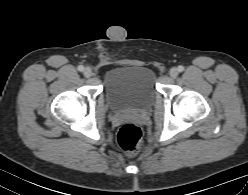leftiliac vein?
I'll use <instances>...</instances> for the list:
<instances>
[{
	"instance_id": "4c4485c4",
	"label": "left iliac vein",
	"mask_w": 248,
	"mask_h": 195,
	"mask_svg": "<svg viewBox=\"0 0 248 195\" xmlns=\"http://www.w3.org/2000/svg\"><path fill=\"white\" fill-rule=\"evenodd\" d=\"M179 74V71L177 68L173 67L170 69L169 71V75L172 77V78H176Z\"/></svg>"
}]
</instances>
